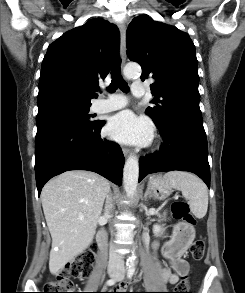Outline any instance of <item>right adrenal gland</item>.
Instances as JSON below:
<instances>
[{
  "label": "right adrenal gland",
  "mask_w": 245,
  "mask_h": 293,
  "mask_svg": "<svg viewBox=\"0 0 245 293\" xmlns=\"http://www.w3.org/2000/svg\"><path fill=\"white\" fill-rule=\"evenodd\" d=\"M107 199L110 201V204H111L112 203V192H111V190L109 191V195L107 196Z\"/></svg>",
  "instance_id": "1"
}]
</instances>
